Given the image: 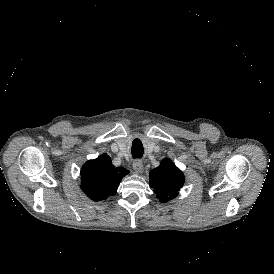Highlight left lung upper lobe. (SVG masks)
Instances as JSON below:
<instances>
[{"label":"left lung upper lobe","instance_id":"1","mask_svg":"<svg viewBox=\"0 0 274 274\" xmlns=\"http://www.w3.org/2000/svg\"><path fill=\"white\" fill-rule=\"evenodd\" d=\"M150 186L161 202L175 198L184 184L182 172L171 162L163 159L160 166L150 171Z\"/></svg>","mask_w":274,"mask_h":274}]
</instances>
